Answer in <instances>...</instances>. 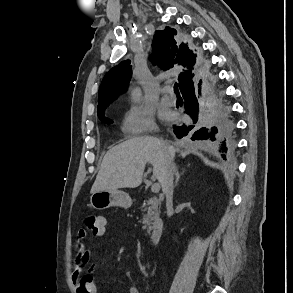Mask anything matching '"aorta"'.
Here are the masks:
<instances>
[{
	"label": "aorta",
	"mask_w": 293,
	"mask_h": 293,
	"mask_svg": "<svg viewBox=\"0 0 293 293\" xmlns=\"http://www.w3.org/2000/svg\"><path fill=\"white\" fill-rule=\"evenodd\" d=\"M138 93H139L138 90H135V91H134V94H135V95H138Z\"/></svg>",
	"instance_id": "762f6f07"
}]
</instances>
